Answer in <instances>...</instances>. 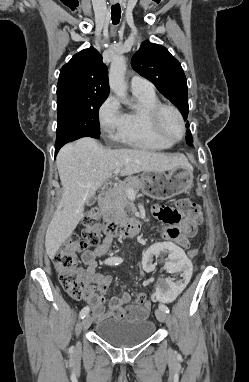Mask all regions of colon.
Returning a JSON list of instances; mask_svg holds the SVG:
<instances>
[{
	"label": "colon",
	"mask_w": 249,
	"mask_h": 382,
	"mask_svg": "<svg viewBox=\"0 0 249 382\" xmlns=\"http://www.w3.org/2000/svg\"><path fill=\"white\" fill-rule=\"evenodd\" d=\"M175 207L184 215L193 217L201 221V212L198 206L188 198L179 199ZM174 209L167 207L164 211L165 216H169L168 210ZM175 210V209H174ZM99 210L93 209L84 217V225L86 227L84 237L85 240H79L76 237L68 239L63 247L59 249L53 256V264L56 271L60 274V283L63 289L75 300L84 298L87 287L82 280L79 269L77 267V252L86 248L87 245H96L100 241V232L98 229ZM189 256L195 258L198 256V249H191ZM146 295L139 293L136 298V305H147Z\"/></svg>",
	"instance_id": "5ec220e1"
}]
</instances>
